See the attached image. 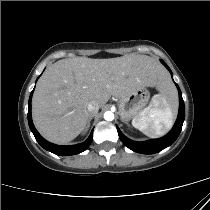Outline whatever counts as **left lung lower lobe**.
Instances as JSON below:
<instances>
[{
	"instance_id": "1",
	"label": "left lung lower lobe",
	"mask_w": 210,
	"mask_h": 210,
	"mask_svg": "<svg viewBox=\"0 0 210 210\" xmlns=\"http://www.w3.org/2000/svg\"><path fill=\"white\" fill-rule=\"evenodd\" d=\"M162 63L166 66V68L172 74L170 68L162 61ZM176 84V83H175ZM179 92V114L176 120V123L172 130L164 137L160 139H154L146 142H135L128 139L126 136L122 134V132L117 128L119 137L121 141L124 143L132 151L142 154H154L160 152L161 150L165 149L166 147L170 146L179 136L182 125L185 118V108H184V101L182 99V93L180 91L179 86L176 84Z\"/></svg>"
}]
</instances>
